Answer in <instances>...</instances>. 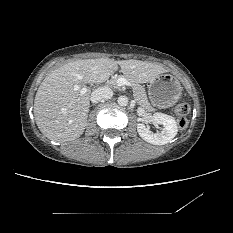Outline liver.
Here are the masks:
<instances>
[{
  "instance_id": "liver-1",
  "label": "liver",
  "mask_w": 233,
  "mask_h": 233,
  "mask_svg": "<svg viewBox=\"0 0 233 233\" xmlns=\"http://www.w3.org/2000/svg\"><path fill=\"white\" fill-rule=\"evenodd\" d=\"M121 68L125 78L147 83L167 72L164 67L140 60L110 58L68 62L51 71L39 86L34 100V116L39 130L49 139L70 142L79 138L86 127L90 91L81 94L75 86L102 83Z\"/></svg>"
}]
</instances>
